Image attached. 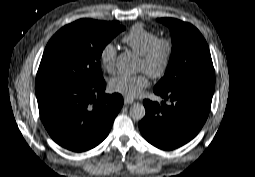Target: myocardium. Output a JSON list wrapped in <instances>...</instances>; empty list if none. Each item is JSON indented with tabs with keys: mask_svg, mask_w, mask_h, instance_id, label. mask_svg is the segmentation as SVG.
<instances>
[{
	"mask_svg": "<svg viewBox=\"0 0 255 177\" xmlns=\"http://www.w3.org/2000/svg\"><path fill=\"white\" fill-rule=\"evenodd\" d=\"M160 48L164 50V53L159 66L146 72V74L152 79L160 78L166 73L173 56V41L169 38H158L151 43L146 51L141 55V60L145 64L150 65L153 62L156 51Z\"/></svg>",
	"mask_w": 255,
	"mask_h": 177,
	"instance_id": "1",
	"label": "myocardium"
}]
</instances>
